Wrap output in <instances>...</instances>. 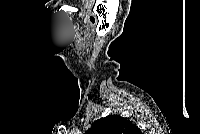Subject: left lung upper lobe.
I'll use <instances>...</instances> for the list:
<instances>
[{
    "mask_svg": "<svg viewBox=\"0 0 200 134\" xmlns=\"http://www.w3.org/2000/svg\"><path fill=\"white\" fill-rule=\"evenodd\" d=\"M85 134H141V130L126 118L109 115L95 121Z\"/></svg>",
    "mask_w": 200,
    "mask_h": 134,
    "instance_id": "5c2ea615",
    "label": "left lung upper lobe"
}]
</instances>
